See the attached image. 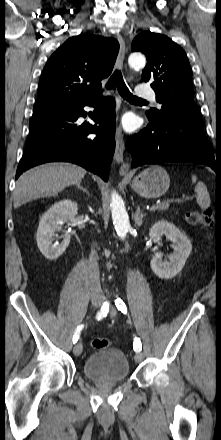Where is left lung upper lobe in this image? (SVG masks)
<instances>
[{
  "mask_svg": "<svg viewBox=\"0 0 221 440\" xmlns=\"http://www.w3.org/2000/svg\"><path fill=\"white\" fill-rule=\"evenodd\" d=\"M132 51L146 55L142 80L151 82L161 110L150 109L148 119L159 121L179 114L203 121L193 100L192 71L185 51L165 35L144 31L132 42Z\"/></svg>",
  "mask_w": 221,
  "mask_h": 440,
  "instance_id": "1",
  "label": "left lung upper lobe"
}]
</instances>
